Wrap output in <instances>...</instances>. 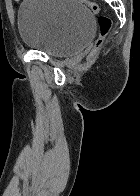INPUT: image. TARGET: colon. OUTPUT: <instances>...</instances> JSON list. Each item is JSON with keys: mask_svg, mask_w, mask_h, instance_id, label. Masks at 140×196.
<instances>
[{"mask_svg": "<svg viewBox=\"0 0 140 196\" xmlns=\"http://www.w3.org/2000/svg\"><path fill=\"white\" fill-rule=\"evenodd\" d=\"M80 3L88 7L92 12L98 14L100 11V7L95 2L89 0H79ZM97 25L99 30V36L95 41L94 47L90 53V58L94 57L101 47L105 36L109 33L112 27V20L106 15H99L97 18Z\"/></svg>", "mask_w": 140, "mask_h": 196, "instance_id": "obj_1", "label": "colon"}]
</instances>
